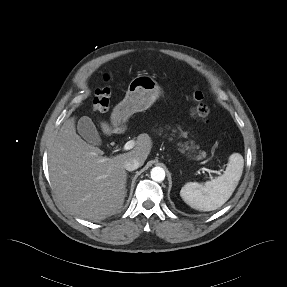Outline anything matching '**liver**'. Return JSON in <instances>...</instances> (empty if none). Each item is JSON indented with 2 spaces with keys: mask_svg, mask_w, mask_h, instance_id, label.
<instances>
[{
  "mask_svg": "<svg viewBox=\"0 0 287 287\" xmlns=\"http://www.w3.org/2000/svg\"><path fill=\"white\" fill-rule=\"evenodd\" d=\"M101 128L106 135L118 131L105 122H101ZM151 148V138L140 134L133 150L105 157L103 151L76 133L75 119H67L49 149L52 188L73 214L91 221L105 219L123 207L127 179L125 160L135 158L143 165Z\"/></svg>",
  "mask_w": 287,
  "mask_h": 287,
  "instance_id": "liver-1",
  "label": "liver"
}]
</instances>
